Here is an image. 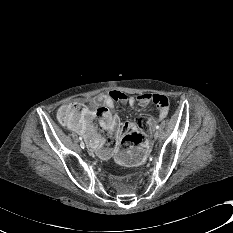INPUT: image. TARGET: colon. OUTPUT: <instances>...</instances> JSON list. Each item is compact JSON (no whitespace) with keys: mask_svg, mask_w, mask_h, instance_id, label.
<instances>
[{"mask_svg":"<svg viewBox=\"0 0 233 233\" xmlns=\"http://www.w3.org/2000/svg\"><path fill=\"white\" fill-rule=\"evenodd\" d=\"M82 105L78 103H70L64 105L59 111V117L63 123L70 125L76 121V117L82 111ZM107 110L101 108L96 111V118L102 120ZM124 130L126 134L121 141L122 149H132L137 145H142L147 138V127L142 119L138 121V128L133 124H126Z\"/></svg>","mask_w":233,"mask_h":233,"instance_id":"obj_1","label":"colon"}]
</instances>
